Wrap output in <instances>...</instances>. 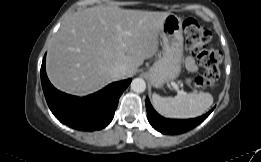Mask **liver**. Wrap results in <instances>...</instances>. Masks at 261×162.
I'll return each instance as SVG.
<instances>
[{
	"label": "liver",
	"mask_w": 261,
	"mask_h": 162,
	"mask_svg": "<svg viewBox=\"0 0 261 162\" xmlns=\"http://www.w3.org/2000/svg\"><path fill=\"white\" fill-rule=\"evenodd\" d=\"M168 12L95 6L63 21L46 58L47 75L61 91L84 96L118 79L132 77L158 51ZM129 32V34H125ZM123 65L126 74L113 75Z\"/></svg>",
	"instance_id": "1"
}]
</instances>
